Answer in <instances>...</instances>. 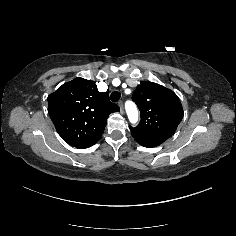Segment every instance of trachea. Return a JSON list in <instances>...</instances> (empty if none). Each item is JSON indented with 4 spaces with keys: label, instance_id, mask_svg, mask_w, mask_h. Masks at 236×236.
Masks as SVG:
<instances>
[{
    "label": "trachea",
    "instance_id": "trachea-1",
    "mask_svg": "<svg viewBox=\"0 0 236 236\" xmlns=\"http://www.w3.org/2000/svg\"><path fill=\"white\" fill-rule=\"evenodd\" d=\"M121 98V93L119 91L112 92L110 99L112 102H117Z\"/></svg>",
    "mask_w": 236,
    "mask_h": 236
}]
</instances>
